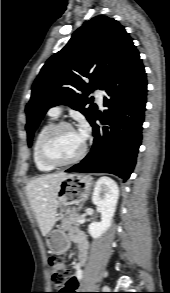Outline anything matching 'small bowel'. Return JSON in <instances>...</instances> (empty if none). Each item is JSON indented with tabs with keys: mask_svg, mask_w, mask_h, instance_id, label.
I'll return each instance as SVG.
<instances>
[{
	"mask_svg": "<svg viewBox=\"0 0 170 293\" xmlns=\"http://www.w3.org/2000/svg\"><path fill=\"white\" fill-rule=\"evenodd\" d=\"M71 238L78 247V265L76 268V279H80L87 260L88 241L85 234L81 231L72 232Z\"/></svg>",
	"mask_w": 170,
	"mask_h": 293,
	"instance_id": "obj_1",
	"label": "small bowel"
}]
</instances>
